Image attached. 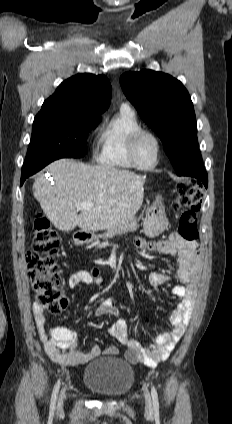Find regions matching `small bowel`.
<instances>
[{
  "label": "small bowel",
  "mask_w": 232,
  "mask_h": 424,
  "mask_svg": "<svg viewBox=\"0 0 232 424\" xmlns=\"http://www.w3.org/2000/svg\"><path fill=\"white\" fill-rule=\"evenodd\" d=\"M136 247L150 250L162 255L175 258L178 264L176 277L181 285L172 287V293L180 302L170 314L172 330L160 334L155 339V344L149 348H142L134 339L129 337L128 324L125 319L118 318L109 328V334L119 343L126 346L125 359L131 363H142L148 367H156L165 361L176 344L183 336L193 313L196 303L197 275L201 265V248L197 243L187 244L180 236L172 233L167 239L148 241L145 238L135 239ZM171 276L162 272H151L148 276L149 283L157 288L169 281ZM103 279L89 271L78 270L73 272L68 280L67 287L74 289L83 285H100ZM66 288H63L64 292ZM66 308V299L62 302ZM34 318L39 337L46 353L56 363L64 366L84 364L100 355H116L118 349L108 346L101 349L98 345H91L89 351L84 352L77 348L78 332L66 327L46 328L45 312L33 305ZM96 317L106 315L119 316V309L114 305L112 298L104 299L95 310Z\"/></svg>",
  "instance_id": "obj_1"
}]
</instances>
